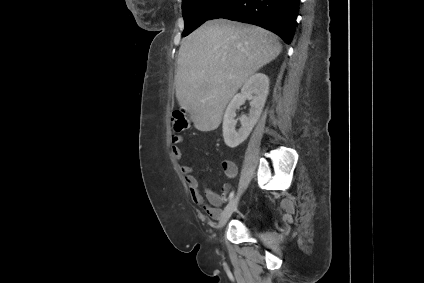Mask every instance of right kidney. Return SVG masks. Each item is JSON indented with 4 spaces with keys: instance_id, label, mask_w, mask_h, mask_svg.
Wrapping results in <instances>:
<instances>
[{
    "instance_id": "right-kidney-1",
    "label": "right kidney",
    "mask_w": 424,
    "mask_h": 283,
    "mask_svg": "<svg viewBox=\"0 0 424 283\" xmlns=\"http://www.w3.org/2000/svg\"><path fill=\"white\" fill-rule=\"evenodd\" d=\"M269 93V78L264 73L252 75L243 85L241 93L236 94L228 104L223 118V137L225 144L235 148L244 142L258 122ZM250 101L248 116H241V128L235 131L236 110Z\"/></svg>"
}]
</instances>
